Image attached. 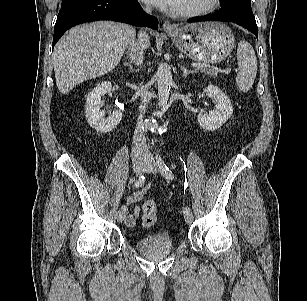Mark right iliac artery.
I'll use <instances>...</instances> for the list:
<instances>
[{"label":"right iliac artery","mask_w":307,"mask_h":301,"mask_svg":"<svg viewBox=\"0 0 307 301\" xmlns=\"http://www.w3.org/2000/svg\"><path fill=\"white\" fill-rule=\"evenodd\" d=\"M145 182V177L144 175H141L134 183L135 187H141ZM121 211H123L125 214L127 213L128 209L126 206L121 207Z\"/></svg>","instance_id":"right-iliac-artery-1"}]
</instances>
